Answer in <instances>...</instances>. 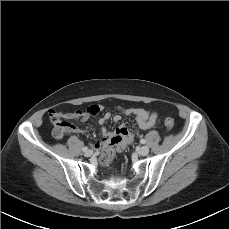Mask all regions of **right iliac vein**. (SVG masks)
<instances>
[{"label":"right iliac vein","mask_w":229,"mask_h":229,"mask_svg":"<svg viewBox=\"0 0 229 229\" xmlns=\"http://www.w3.org/2000/svg\"><path fill=\"white\" fill-rule=\"evenodd\" d=\"M92 154H93V151H92V150H87V151L84 153V155H85L86 157H90Z\"/></svg>","instance_id":"1"}]
</instances>
